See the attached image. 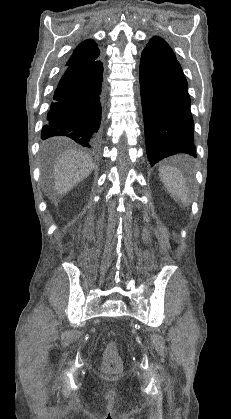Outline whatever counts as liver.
Wrapping results in <instances>:
<instances>
[{
  "mask_svg": "<svg viewBox=\"0 0 231 419\" xmlns=\"http://www.w3.org/2000/svg\"><path fill=\"white\" fill-rule=\"evenodd\" d=\"M93 163L89 155L74 150L67 151L54 165V189L62 196L83 181L92 172Z\"/></svg>",
  "mask_w": 231,
  "mask_h": 419,
  "instance_id": "obj_1",
  "label": "liver"
}]
</instances>
